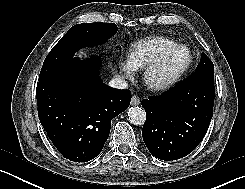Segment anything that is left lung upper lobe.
I'll list each match as a JSON object with an SVG mask.
<instances>
[{"label":"left lung upper lobe","mask_w":245,"mask_h":189,"mask_svg":"<svg viewBox=\"0 0 245 189\" xmlns=\"http://www.w3.org/2000/svg\"><path fill=\"white\" fill-rule=\"evenodd\" d=\"M194 73H203L214 78V65L204 53H202L200 63Z\"/></svg>","instance_id":"1"}]
</instances>
